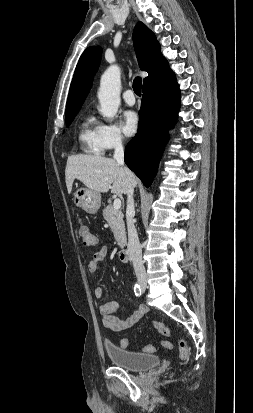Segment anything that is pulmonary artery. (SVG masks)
Instances as JSON below:
<instances>
[{
    "instance_id": "e3ab8cb5",
    "label": "pulmonary artery",
    "mask_w": 253,
    "mask_h": 413,
    "mask_svg": "<svg viewBox=\"0 0 253 413\" xmlns=\"http://www.w3.org/2000/svg\"><path fill=\"white\" fill-rule=\"evenodd\" d=\"M123 99L129 106H133L135 104V96L131 89H128L123 93Z\"/></svg>"
}]
</instances>
